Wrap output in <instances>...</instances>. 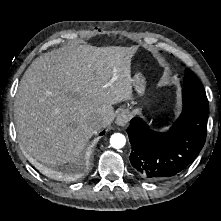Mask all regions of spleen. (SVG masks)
I'll use <instances>...</instances> for the list:
<instances>
[{
  "mask_svg": "<svg viewBox=\"0 0 221 221\" xmlns=\"http://www.w3.org/2000/svg\"><path fill=\"white\" fill-rule=\"evenodd\" d=\"M168 129H169V127H164V128L161 129V131H165V130H168Z\"/></svg>",
  "mask_w": 221,
  "mask_h": 221,
  "instance_id": "1",
  "label": "spleen"
}]
</instances>
